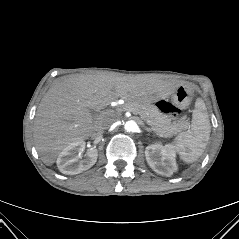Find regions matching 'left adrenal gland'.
I'll use <instances>...</instances> for the list:
<instances>
[{"label":"left adrenal gland","mask_w":239,"mask_h":239,"mask_svg":"<svg viewBox=\"0 0 239 239\" xmlns=\"http://www.w3.org/2000/svg\"><path fill=\"white\" fill-rule=\"evenodd\" d=\"M144 130H146L147 132H152L153 130L147 126L144 127Z\"/></svg>","instance_id":"a2214340"}]
</instances>
